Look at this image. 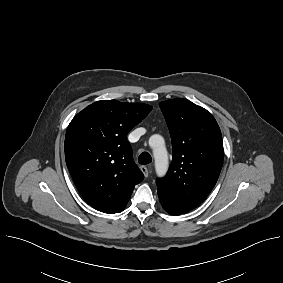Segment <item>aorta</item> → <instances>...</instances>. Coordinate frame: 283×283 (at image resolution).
I'll return each mask as SVG.
<instances>
[{"mask_svg":"<svg viewBox=\"0 0 283 283\" xmlns=\"http://www.w3.org/2000/svg\"><path fill=\"white\" fill-rule=\"evenodd\" d=\"M149 144L153 149L156 173L159 177H163L168 170V154L164 139L162 136L155 134L150 137Z\"/></svg>","mask_w":283,"mask_h":283,"instance_id":"762f6f07","label":"aorta"}]
</instances>
